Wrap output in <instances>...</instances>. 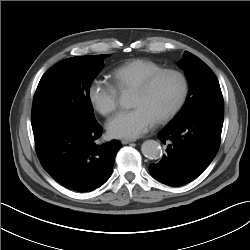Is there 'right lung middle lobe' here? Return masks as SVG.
<instances>
[{
    "label": "right lung middle lobe",
    "mask_w": 250,
    "mask_h": 250,
    "mask_svg": "<svg viewBox=\"0 0 250 250\" xmlns=\"http://www.w3.org/2000/svg\"><path fill=\"white\" fill-rule=\"evenodd\" d=\"M108 55L78 56L51 67L41 78L32 106L34 135L96 123L89 88Z\"/></svg>",
    "instance_id": "1"
}]
</instances>
